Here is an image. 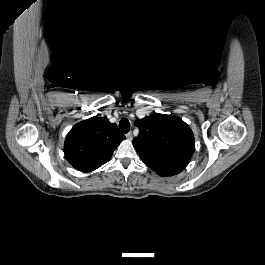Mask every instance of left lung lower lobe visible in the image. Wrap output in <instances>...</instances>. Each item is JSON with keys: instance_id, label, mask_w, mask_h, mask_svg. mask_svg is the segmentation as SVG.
Masks as SVG:
<instances>
[{"instance_id": "0a47b994", "label": "left lung lower lobe", "mask_w": 265, "mask_h": 265, "mask_svg": "<svg viewBox=\"0 0 265 265\" xmlns=\"http://www.w3.org/2000/svg\"><path fill=\"white\" fill-rule=\"evenodd\" d=\"M187 165L188 163L173 164L165 168L156 170V173L161 176H173L184 170Z\"/></svg>"}]
</instances>
